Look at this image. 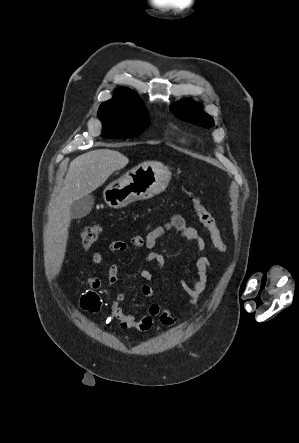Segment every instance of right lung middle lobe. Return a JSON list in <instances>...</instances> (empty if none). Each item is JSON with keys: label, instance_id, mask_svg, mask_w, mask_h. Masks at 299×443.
<instances>
[{"label": "right lung middle lobe", "instance_id": "dd1d6c3e", "mask_svg": "<svg viewBox=\"0 0 299 443\" xmlns=\"http://www.w3.org/2000/svg\"><path fill=\"white\" fill-rule=\"evenodd\" d=\"M98 116L103 122L101 136L105 139H128L140 135L149 124L144 108L118 103H103Z\"/></svg>", "mask_w": 299, "mask_h": 443}]
</instances>
